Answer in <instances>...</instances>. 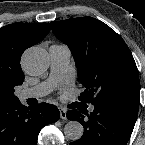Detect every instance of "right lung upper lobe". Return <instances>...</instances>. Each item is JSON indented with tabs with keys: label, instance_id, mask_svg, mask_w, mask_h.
<instances>
[{
	"label": "right lung upper lobe",
	"instance_id": "right-lung-upper-lobe-1",
	"mask_svg": "<svg viewBox=\"0 0 145 145\" xmlns=\"http://www.w3.org/2000/svg\"><path fill=\"white\" fill-rule=\"evenodd\" d=\"M49 31V23L17 22L0 28V106L19 101L14 91L24 81L21 55Z\"/></svg>",
	"mask_w": 145,
	"mask_h": 145
}]
</instances>
